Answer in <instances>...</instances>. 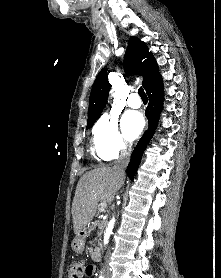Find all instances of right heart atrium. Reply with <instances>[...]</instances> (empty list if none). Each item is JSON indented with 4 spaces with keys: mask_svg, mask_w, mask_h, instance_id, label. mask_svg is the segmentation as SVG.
<instances>
[{
    "mask_svg": "<svg viewBox=\"0 0 221 278\" xmlns=\"http://www.w3.org/2000/svg\"><path fill=\"white\" fill-rule=\"evenodd\" d=\"M93 143L97 155L103 160H114L130 149L119 128L118 119L112 114L100 117L93 129Z\"/></svg>",
    "mask_w": 221,
    "mask_h": 278,
    "instance_id": "right-heart-atrium-1",
    "label": "right heart atrium"
}]
</instances>
